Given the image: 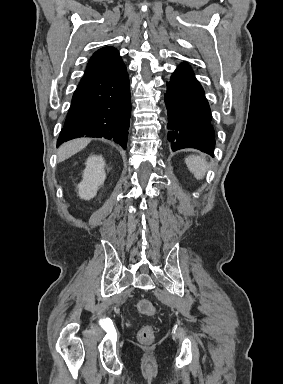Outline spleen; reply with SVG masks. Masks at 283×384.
Segmentation results:
<instances>
[{
  "label": "spleen",
  "mask_w": 283,
  "mask_h": 384,
  "mask_svg": "<svg viewBox=\"0 0 283 384\" xmlns=\"http://www.w3.org/2000/svg\"><path fill=\"white\" fill-rule=\"evenodd\" d=\"M187 168H189L191 174H194L196 180H203L206 172L207 166L205 160L201 156H189L185 158Z\"/></svg>",
  "instance_id": "1"
}]
</instances>
